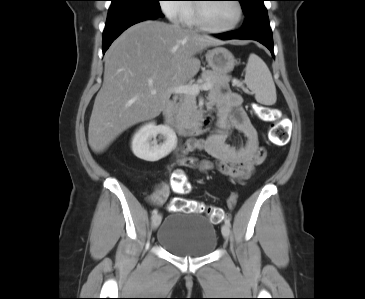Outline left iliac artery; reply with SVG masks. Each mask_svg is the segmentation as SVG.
Returning a JSON list of instances; mask_svg holds the SVG:
<instances>
[{"label": "left iliac artery", "instance_id": "1", "mask_svg": "<svg viewBox=\"0 0 365 299\" xmlns=\"http://www.w3.org/2000/svg\"><path fill=\"white\" fill-rule=\"evenodd\" d=\"M225 224L230 226V220L229 219H225Z\"/></svg>", "mask_w": 365, "mask_h": 299}]
</instances>
